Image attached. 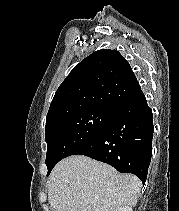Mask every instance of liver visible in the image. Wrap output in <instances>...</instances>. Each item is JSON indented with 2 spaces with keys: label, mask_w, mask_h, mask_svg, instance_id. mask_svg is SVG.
<instances>
[{
  "label": "liver",
  "mask_w": 179,
  "mask_h": 211,
  "mask_svg": "<svg viewBox=\"0 0 179 211\" xmlns=\"http://www.w3.org/2000/svg\"><path fill=\"white\" fill-rule=\"evenodd\" d=\"M142 183L86 156L61 160L49 176L48 202L55 211H115L135 206Z\"/></svg>",
  "instance_id": "liver-1"
}]
</instances>
